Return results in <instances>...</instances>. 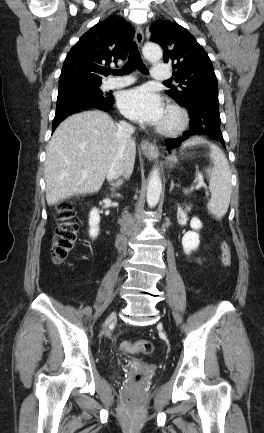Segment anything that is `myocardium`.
Segmentation results:
<instances>
[{
  "instance_id": "1",
  "label": "myocardium",
  "mask_w": 264,
  "mask_h": 433,
  "mask_svg": "<svg viewBox=\"0 0 264 433\" xmlns=\"http://www.w3.org/2000/svg\"><path fill=\"white\" fill-rule=\"evenodd\" d=\"M166 115L169 121L161 122L157 130L165 136H174L182 132L188 124V114L180 106L170 104L167 107Z\"/></svg>"
}]
</instances>
